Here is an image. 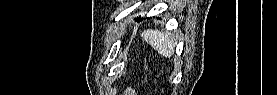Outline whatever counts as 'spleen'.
Here are the masks:
<instances>
[{"mask_svg":"<svg viewBox=\"0 0 277 95\" xmlns=\"http://www.w3.org/2000/svg\"><path fill=\"white\" fill-rule=\"evenodd\" d=\"M141 37L165 58H170L174 55L176 41L172 34L148 29L141 33Z\"/></svg>","mask_w":277,"mask_h":95,"instance_id":"3e777b00","label":"spleen"}]
</instances>
